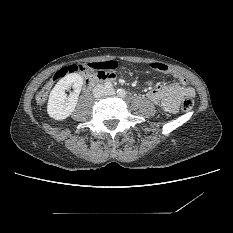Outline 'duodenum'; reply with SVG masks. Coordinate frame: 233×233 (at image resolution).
Returning a JSON list of instances; mask_svg holds the SVG:
<instances>
[{
    "label": "duodenum",
    "mask_w": 233,
    "mask_h": 233,
    "mask_svg": "<svg viewBox=\"0 0 233 233\" xmlns=\"http://www.w3.org/2000/svg\"><path fill=\"white\" fill-rule=\"evenodd\" d=\"M108 81H110V78L107 74L97 71L96 73L88 75L86 77L85 84L86 86H92L99 82H108Z\"/></svg>",
    "instance_id": "410a0bca"
}]
</instances>
